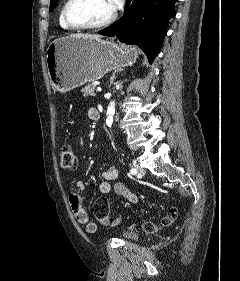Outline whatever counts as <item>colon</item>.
<instances>
[{"label":"colon","instance_id":"5ec220e1","mask_svg":"<svg viewBox=\"0 0 240 281\" xmlns=\"http://www.w3.org/2000/svg\"><path fill=\"white\" fill-rule=\"evenodd\" d=\"M59 162L63 169L75 170L77 167V157L70 145H64L61 148ZM91 211L96 220L107 226H114L117 220H112L110 217L109 202L106 198H98L91 205ZM177 215V210L171 208L167 216L163 219L162 225L166 226L172 223ZM143 229L148 232H154L157 227L153 223H145Z\"/></svg>","mask_w":240,"mask_h":281}]
</instances>
